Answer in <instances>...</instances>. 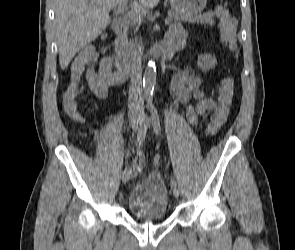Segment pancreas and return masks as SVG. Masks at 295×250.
<instances>
[{"mask_svg":"<svg viewBox=\"0 0 295 250\" xmlns=\"http://www.w3.org/2000/svg\"><path fill=\"white\" fill-rule=\"evenodd\" d=\"M169 17L171 18L172 21H174L175 23H178L180 21H187V22H193V23H202V24H209V25H214V13L213 12H208L206 14L203 15H197L194 17H188V16H181L177 13H174L172 11H170L169 13ZM134 47V43L133 41L129 42V48L133 49Z\"/></svg>","mask_w":295,"mask_h":250,"instance_id":"obj_1","label":"pancreas"}]
</instances>
